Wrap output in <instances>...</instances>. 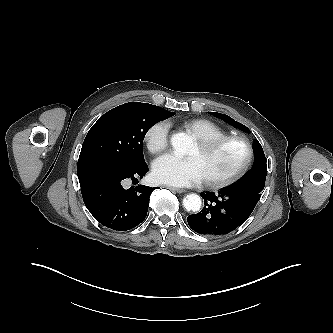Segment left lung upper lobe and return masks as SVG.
I'll return each mask as SVG.
<instances>
[{
    "mask_svg": "<svg viewBox=\"0 0 333 333\" xmlns=\"http://www.w3.org/2000/svg\"><path fill=\"white\" fill-rule=\"evenodd\" d=\"M212 114L218 118L223 119L225 122L231 124L232 126L241 129L245 132H249V129L243 124L236 122L231 117L212 112ZM253 151H254V165L252 170L247 173L242 179H240L237 183L229 186L228 188L237 191H243L255 194L257 196H261V192L265 186L266 174H267V164L266 157L263 152L262 146L258 142V140H254L253 142Z\"/></svg>",
    "mask_w": 333,
    "mask_h": 333,
    "instance_id": "left-lung-upper-lobe-1",
    "label": "left lung upper lobe"
}]
</instances>
